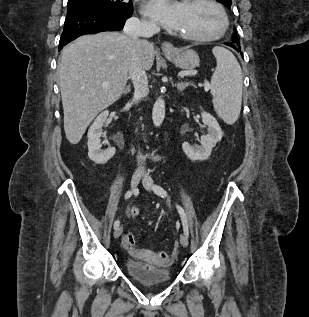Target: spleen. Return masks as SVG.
<instances>
[{
	"instance_id": "obj_1",
	"label": "spleen",
	"mask_w": 309,
	"mask_h": 317,
	"mask_svg": "<svg viewBox=\"0 0 309 317\" xmlns=\"http://www.w3.org/2000/svg\"><path fill=\"white\" fill-rule=\"evenodd\" d=\"M217 66L211 78L213 106L220 118L234 124L241 111L243 75L236 57L226 48L212 50Z\"/></svg>"
}]
</instances>
